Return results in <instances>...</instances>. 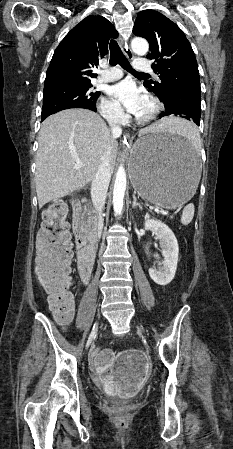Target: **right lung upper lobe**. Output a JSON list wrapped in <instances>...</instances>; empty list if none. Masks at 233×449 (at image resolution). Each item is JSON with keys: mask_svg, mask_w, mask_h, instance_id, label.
Listing matches in <instances>:
<instances>
[{"mask_svg": "<svg viewBox=\"0 0 233 449\" xmlns=\"http://www.w3.org/2000/svg\"><path fill=\"white\" fill-rule=\"evenodd\" d=\"M118 36L114 25L102 16H88L77 24L56 48L46 72L44 92L91 84L97 77L92 68L107 53L111 37Z\"/></svg>", "mask_w": 233, "mask_h": 449, "instance_id": "cb5924a9", "label": "right lung upper lobe"}]
</instances>
